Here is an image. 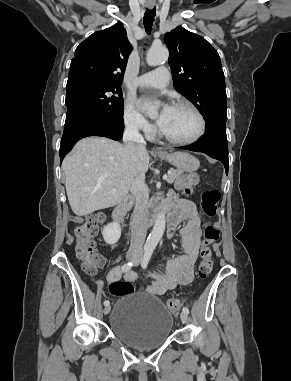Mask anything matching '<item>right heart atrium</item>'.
Instances as JSON below:
<instances>
[{"instance_id": "right-heart-atrium-1", "label": "right heart atrium", "mask_w": 291, "mask_h": 381, "mask_svg": "<svg viewBox=\"0 0 291 381\" xmlns=\"http://www.w3.org/2000/svg\"><path fill=\"white\" fill-rule=\"evenodd\" d=\"M123 122L125 127L133 132L142 133L146 136H151L154 133L153 126L147 122L132 101L125 103Z\"/></svg>"}]
</instances>
